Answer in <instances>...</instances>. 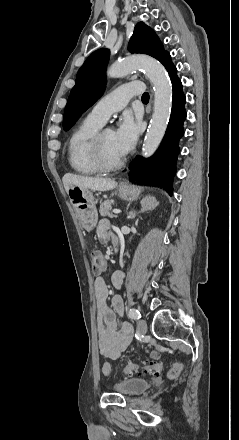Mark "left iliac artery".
<instances>
[{
  "label": "left iliac artery",
  "instance_id": "1",
  "mask_svg": "<svg viewBox=\"0 0 239 440\" xmlns=\"http://www.w3.org/2000/svg\"><path fill=\"white\" fill-rule=\"evenodd\" d=\"M128 315H129L130 318H132V319H134V320H137V319H140V318H141V314H140V312H139L137 309H135V308H131V309L129 310Z\"/></svg>",
  "mask_w": 239,
  "mask_h": 440
}]
</instances>
